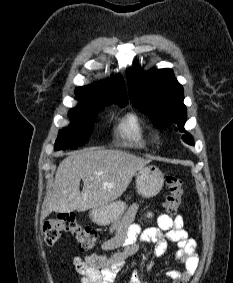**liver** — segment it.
<instances>
[{"label": "liver", "mask_w": 233, "mask_h": 283, "mask_svg": "<svg viewBox=\"0 0 233 283\" xmlns=\"http://www.w3.org/2000/svg\"><path fill=\"white\" fill-rule=\"evenodd\" d=\"M149 163L150 160L121 150L94 148L71 154L57 169L53 189L43 202L41 221L52 211L83 212L114 202L135 173Z\"/></svg>", "instance_id": "obj_1"}]
</instances>
